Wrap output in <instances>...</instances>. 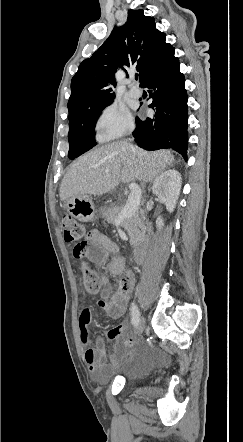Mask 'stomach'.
<instances>
[{"instance_id":"obj_1","label":"stomach","mask_w":243,"mask_h":442,"mask_svg":"<svg viewBox=\"0 0 243 442\" xmlns=\"http://www.w3.org/2000/svg\"><path fill=\"white\" fill-rule=\"evenodd\" d=\"M65 208L71 216L82 222L97 218L94 203L88 195L69 199L66 201Z\"/></svg>"}]
</instances>
